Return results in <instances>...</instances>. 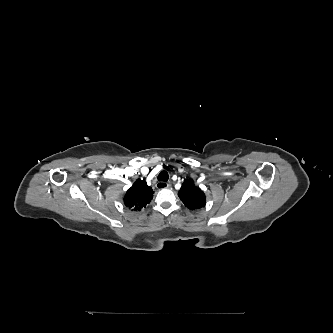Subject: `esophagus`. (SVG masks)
Returning a JSON list of instances; mask_svg holds the SVG:
<instances>
[{"label":"esophagus","mask_w":333,"mask_h":333,"mask_svg":"<svg viewBox=\"0 0 333 333\" xmlns=\"http://www.w3.org/2000/svg\"><path fill=\"white\" fill-rule=\"evenodd\" d=\"M170 186L171 185L169 183L163 182V181L157 182V184H156V187L158 189H167V188H170Z\"/></svg>","instance_id":"esophagus-1"}]
</instances>
